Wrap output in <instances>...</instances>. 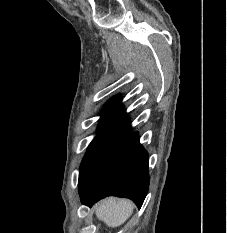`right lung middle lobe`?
<instances>
[{"label":"right lung middle lobe","instance_id":"right-lung-middle-lobe-1","mask_svg":"<svg viewBox=\"0 0 227 233\" xmlns=\"http://www.w3.org/2000/svg\"><path fill=\"white\" fill-rule=\"evenodd\" d=\"M119 139L115 135H98L91 142L88 151L82 161L81 169L79 173L78 185L87 176L89 171L100 159V157Z\"/></svg>","mask_w":227,"mask_h":233}]
</instances>
